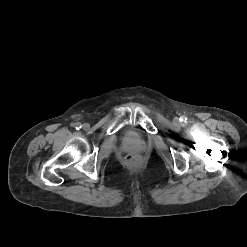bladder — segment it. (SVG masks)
Returning a JSON list of instances; mask_svg holds the SVG:
<instances>
[{
	"instance_id": "obj_1",
	"label": "bladder",
	"mask_w": 247,
	"mask_h": 247,
	"mask_svg": "<svg viewBox=\"0 0 247 247\" xmlns=\"http://www.w3.org/2000/svg\"><path fill=\"white\" fill-rule=\"evenodd\" d=\"M127 138H128V140L131 141V142H136V141H138V136L135 135V134H133V133L128 134V135H127Z\"/></svg>"
}]
</instances>
